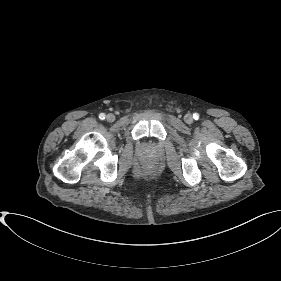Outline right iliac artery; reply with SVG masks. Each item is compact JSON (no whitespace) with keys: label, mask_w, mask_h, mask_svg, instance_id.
Wrapping results in <instances>:
<instances>
[{"label":"right iliac artery","mask_w":281,"mask_h":281,"mask_svg":"<svg viewBox=\"0 0 281 281\" xmlns=\"http://www.w3.org/2000/svg\"><path fill=\"white\" fill-rule=\"evenodd\" d=\"M99 118H100L101 120H104V119H105V114H104V113L99 114Z\"/></svg>","instance_id":"1"}]
</instances>
